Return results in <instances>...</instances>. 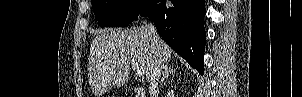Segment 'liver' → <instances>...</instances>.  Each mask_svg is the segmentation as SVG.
<instances>
[{"mask_svg":"<svg viewBox=\"0 0 302 97\" xmlns=\"http://www.w3.org/2000/svg\"><path fill=\"white\" fill-rule=\"evenodd\" d=\"M160 48L168 61L172 49L162 39ZM131 60L140 64L149 82L158 58L157 47L146 26L100 31L92 41L89 54L88 78L94 95L100 97L109 89L124 85L129 78Z\"/></svg>","mask_w":302,"mask_h":97,"instance_id":"6515ba94","label":"liver"}]
</instances>
